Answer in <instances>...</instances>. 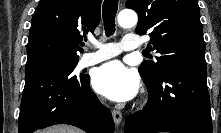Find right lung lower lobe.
<instances>
[{"label": "right lung lower lobe", "mask_w": 221, "mask_h": 133, "mask_svg": "<svg viewBox=\"0 0 221 133\" xmlns=\"http://www.w3.org/2000/svg\"><path fill=\"white\" fill-rule=\"evenodd\" d=\"M88 75L73 78L58 67L26 71L19 133L69 124L87 133H113L110 111L89 86Z\"/></svg>", "instance_id": "obj_1"}]
</instances>
